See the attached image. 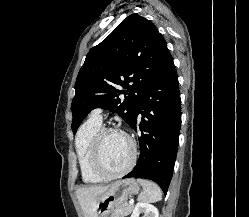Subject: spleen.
<instances>
[{"label":"spleen","instance_id":"1","mask_svg":"<svg viewBox=\"0 0 249 217\" xmlns=\"http://www.w3.org/2000/svg\"><path fill=\"white\" fill-rule=\"evenodd\" d=\"M137 181L143 187V192L139 194L138 201L157 202L162 199V192L157 184L140 178Z\"/></svg>","mask_w":249,"mask_h":217}]
</instances>
